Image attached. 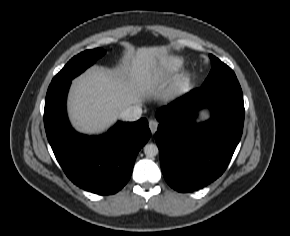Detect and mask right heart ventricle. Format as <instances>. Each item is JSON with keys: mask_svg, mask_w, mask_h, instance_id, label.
<instances>
[{"mask_svg": "<svg viewBox=\"0 0 290 236\" xmlns=\"http://www.w3.org/2000/svg\"><path fill=\"white\" fill-rule=\"evenodd\" d=\"M183 65V59L179 57H172L170 58L166 63V68L169 71H177L179 70Z\"/></svg>", "mask_w": 290, "mask_h": 236, "instance_id": "right-heart-ventricle-1", "label": "right heart ventricle"}]
</instances>
